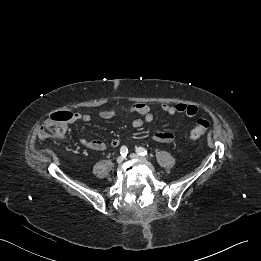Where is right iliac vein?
<instances>
[{
    "mask_svg": "<svg viewBox=\"0 0 261 261\" xmlns=\"http://www.w3.org/2000/svg\"><path fill=\"white\" fill-rule=\"evenodd\" d=\"M123 161H124V157L119 156V157L117 158V163H118V164H122Z\"/></svg>",
    "mask_w": 261,
    "mask_h": 261,
    "instance_id": "1",
    "label": "right iliac vein"
}]
</instances>
